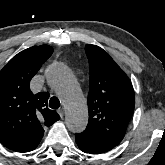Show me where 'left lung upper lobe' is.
<instances>
[{
    "instance_id": "5c2ea615",
    "label": "left lung upper lobe",
    "mask_w": 165,
    "mask_h": 165,
    "mask_svg": "<svg viewBox=\"0 0 165 165\" xmlns=\"http://www.w3.org/2000/svg\"><path fill=\"white\" fill-rule=\"evenodd\" d=\"M85 51L90 67L89 122L85 131L116 146L124 138L133 115V86L102 48L87 44Z\"/></svg>"
}]
</instances>
